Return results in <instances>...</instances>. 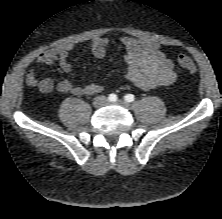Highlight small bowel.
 I'll list each match as a JSON object with an SVG mask.
<instances>
[{
  "label": "small bowel",
  "instance_id": "c3829d8e",
  "mask_svg": "<svg viewBox=\"0 0 222 219\" xmlns=\"http://www.w3.org/2000/svg\"><path fill=\"white\" fill-rule=\"evenodd\" d=\"M120 42L126 49L124 61L127 66L125 79L133 83L142 90H150L174 83L177 73L172 60L160 49L159 45L153 41L123 36ZM110 46L107 38H94L89 49L97 58H104L106 50ZM73 49L70 43L46 50L37 58V64L45 65L58 63L67 73L73 71L72 64L68 61V56ZM28 85L37 87L43 93H49L56 89L60 93L80 95H93L102 91V86L98 83H89L83 86L75 85L70 79H64L57 84L51 78L39 79L36 71L32 70L27 74Z\"/></svg>",
  "mask_w": 222,
  "mask_h": 219
}]
</instances>
